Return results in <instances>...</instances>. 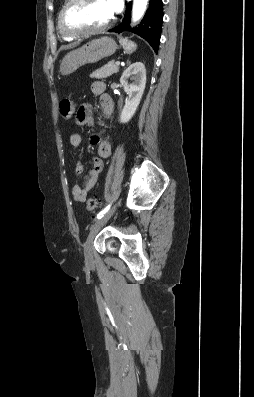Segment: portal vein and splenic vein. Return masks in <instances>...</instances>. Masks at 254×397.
I'll list each match as a JSON object with an SVG mask.
<instances>
[{
	"mask_svg": "<svg viewBox=\"0 0 254 397\" xmlns=\"http://www.w3.org/2000/svg\"><path fill=\"white\" fill-rule=\"evenodd\" d=\"M115 64H116L117 66H119V65H120V62H119V61H116Z\"/></svg>",
	"mask_w": 254,
	"mask_h": 397,
	"instance_id": "portal-vein-and-splenic-vein-1",
	"label": "portal vein and splenic vein"
}]
</instances>
